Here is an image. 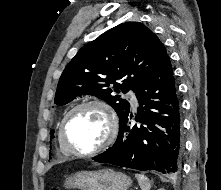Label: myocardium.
<instances>
[{
  "label": "myocardium",
  "mask_w": 221,
  "mask_h": 190,
  "mask_svg": "<svg viewBox=\"0 0 221 190\" xmlns=\"http://www.w3.org/2000/svg\"><path fill=\"white\" fill-rule=\"evenodd\" d=\"M88 106H96L105 111L109 121L108 133L105 140L98 146L89 150H79L68 141L66 137V127L70 117L74 112ZM118 131L119 120L112 105L109 102L102 99H89L76 104L66 112L59 125V138L62 145L70 154L76 156H92L106 150L110 145H112L118 135Z\"/></svg>",
  "instance_id": "1"
}]
</instances>
